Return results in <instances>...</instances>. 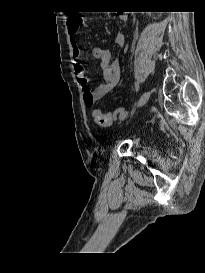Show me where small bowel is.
<instances>
[{"label": "small bowel", "mask_w": 205, "mask_h": 273, "mask_svg": "<svg viewBox=\"0 0 205 273\" xmlns=\"http://www.w3.org/2000/svg\"><path fill=\"white\" fill-rule=\"evenodd\" d=\"M75 18L76 17H71L68 20V33L71 38L72 56L74 59L80 60L83 58V50L75 39V36L80 29L77 24L78 21L75 20ZM82 25L86 26V23L82 22ZM114 43L118 46L124 45L125 36L123 34H118L114 39ZM92 56L100 61L104 79V82L99 84L95 89L92 90L87 85L83 66L79 63L75 65V74L83 87L84 103L88 108L93 107L96 102L111 92L118 85L120 80V69L118 64L112 59L108 49L96 46L92 49Z\"/></svg>", "instance_id": "small-bowel-1"}]
</instances>
